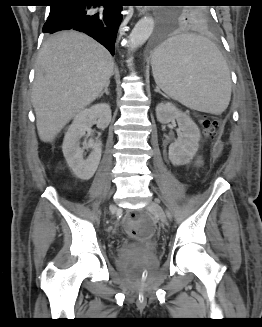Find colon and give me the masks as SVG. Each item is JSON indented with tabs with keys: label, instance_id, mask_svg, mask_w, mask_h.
<instances>
[{
	"label": "colon",
	"instance_id": "1",
	"mask_svg": "<svg viewBox=\"0 0 262 327\" xmlns=\"http://www.w3.org/2000/svg\"><path fill=\"white\" fill-rule=\"evenodd\" d=\"M204 135L208 139H215L220 130V122L214 117L205 116L202 119ZM222 151V145L217 143L214 147V154L219 155ZM128 232L139 239L149 238L154 231L152 220L144 213H132L126 220Z\"/></svg>",
	"mask_w": 262,
	"mask_h": 327
}]
</instances>
